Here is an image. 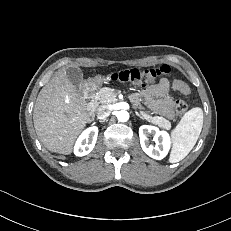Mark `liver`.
<instances>
[{
  "label": "liver",
  "mask_w": 231,
  "mask_h": 231,
  "mask_svg": "<svg viewBox=\"0 0 231 231\" xmlns=\"http://www.w3.org/2000/svg\"><path fill=\"white\" fill-rule=\"evenodd\" d=\"M91 117L93 112L77 94L65 68L40 90L33 111L34 127L42 144L51 152L65 155L72 152Z\"/></svg>",
  "instance_id": "1"
}]
</instances>
